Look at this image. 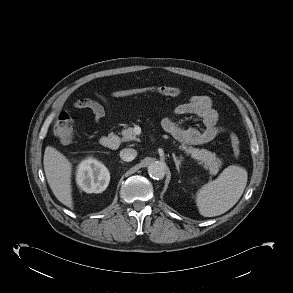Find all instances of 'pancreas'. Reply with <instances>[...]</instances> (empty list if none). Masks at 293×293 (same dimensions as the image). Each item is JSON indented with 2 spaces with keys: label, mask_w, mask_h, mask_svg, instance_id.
I'll return each instance as SVG.
<instances>
[{
  "label": "pancreas",
  "mask_w": 293,
  "mask_h": 293,
  "mask_svg": "<svg viewBox=\"0 0 293 293\" xmlns=\"http://www.w3.org/2000/svg\"><path fill=\"white\" fill-rule=\"evenodd\" d=\"M122 141L138 140L134 128L128 127L122 131ZM180 149L187 155H190L193 159L200 161L199 163L209 170L211 175H216L219 171V167L222 165V161L216 157L215 153H212L206 149H198L191 146L182 144Z\"/></svg>",
  "instance_id": "cf45deb5"
}]
</instances>
